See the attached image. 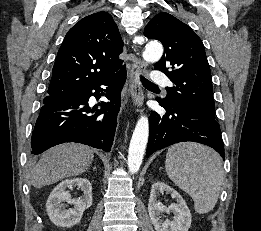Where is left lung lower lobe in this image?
I'll return each instance as SVG.
<instances>
[{"label": "left lung lower lobe", "instance_id": "1", "mask_svg": "<svg viewBox=\"0 0 261 231\" xmlns=\"http://www.w3.org/2000/svg\"><path fill=\"white\" fill-rule=\"evenodd\" d=\"M166 110L160 115L153 111L150 116V137L147 157L169 145L193 141L214 148L224 159V144L218 122L185 104L167 103L157 99Z\"/></svg>", "mask_w": 261, "mask_h": 231}]
</instances>
